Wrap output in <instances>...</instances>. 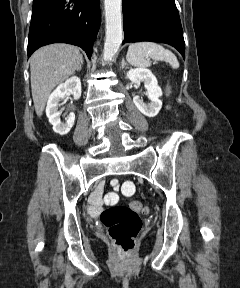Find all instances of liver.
I'll list each match as a JSON object with an SVG mask.
<instances>
[{
	"label": "liver",
	"instance_id": "liver-1",
	"mask_svg": "<svg viewBox=\"0 0 240 288\" xmlns=\"http://www.w3.org/2000/svg\"><path fill=\"white\" fill-rule=\"evenodd\" d=\"M29 61L32 98L40 117L51 91L74 74L83 57L77 47L58 43L38 49Z\"/></svg>",
	"mask_w": 240,
	"mask_h": 288
}]
</instances>
